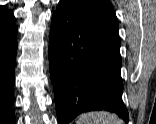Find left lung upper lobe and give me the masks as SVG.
I'll use <instances>...</instances> for the list:
<instances>
[{"mask_svg":"<svg viewBox=\"0 0 156 124\" xmlns=\"http://www.w3.org/2000/svg\"><path fill=\"white\" fill-rule=\"evenodd\" d=\"M77 11L118 30L114 9L108 0H64Z\"/></svg>","mask_w":156,"mask_h":124,"instance_id":"left-lung-upper-lobe-1","label":"left lung upper lobe"}]
</instances>
